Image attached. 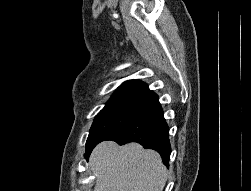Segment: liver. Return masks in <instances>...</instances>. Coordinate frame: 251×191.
Masks as SVG:
<instances>
[{"label": "liver", "mask_w": 251, "mask_h": 191, "mask_svg": "<svg viewBox=\"0 0 251 191\" xmlns=\"http://www.w3.org/2000/svg\"><path fill=\"white\" fill-rule=\"evenodd\" d=\"M96 175L94 191H162L167 169L154 149L140 143L102 141L90 155Z\"/></svg>", "instance_id": "obj_1"}]
</instances>
